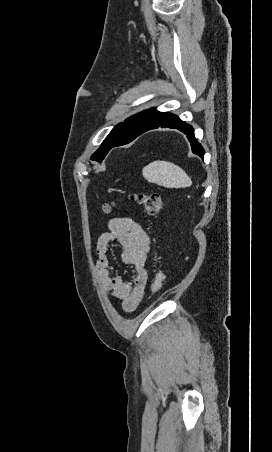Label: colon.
Returning <instances> with one entry per match:
<instances>
[{
  "label": "colon",
  "mask_w": 272,
  "mask_h": 452,
  "mask_svg": "<svg viewBox=\"0 0 272 452\" xmlns=\"http://www.w3.org/2000/svg\"><path fill=\"white\" fill-rule=\"evenodd\" d=\"M130 199L143 207L145 212L151 216L157 215L162 207V200L159 194L157 193H137L132 194ZM112 205L106 203L102 206V211L105 214L110 213ZM165 281V273L163 270H159L152 282L151 292L153 294L158 293Z\"/></svg>",
  "instance_id": "1"
}]
</instances>
